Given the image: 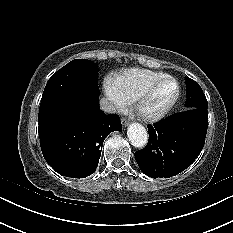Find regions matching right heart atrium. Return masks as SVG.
I'll use <instances>...</instances> for the list:
<instances>
[{
	"mask_svg": "<svg viewBox=\"0 0 233 233\" xmlns=\"http://www.w3.org/2000/svg\"><path fill=\"white\" fill-rule=\"evenodd\" d=\"M104 91L110 101L113 111L123 112L127 109L129 101L117 90L112 78L105 79Z\"/></svg>",
	"mask_w": 233,
	"mask_h": 233,
	"instance_id": "obj_1",
	"label": "right heart atrium"
}]
</instances>
